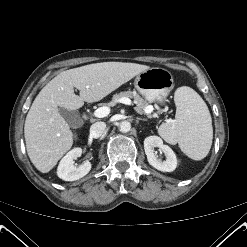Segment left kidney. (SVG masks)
I'll return each instance as SVG.
<instances>
[{"label": "left kidney", "instance_id": "obj_1", "mask_svg": "<svg viewBox=\"0 0 247 247\" xmlns=\"http://www.w3.org/2000/svg\"><path fill=\"white\" fill-rule=\"evenodd\" d=\"M158 147L159 150L163 151L166 156V160L162 161L156 157L154 148ZM144 149L147 156V160L151 166L157 170L163 172H172L177 167V158L173 150L168 146L164 145L163 141L158 136H149L144 140Z\"/></svg>", "mask_w": 247, "mask_h": 247}]
</instances>
